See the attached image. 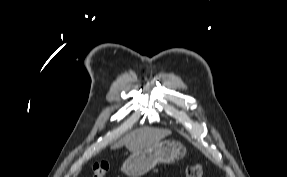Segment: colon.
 I'll return each instance as SVG.
<instances>
[{
    "label": "colon",
    "mask_w": 287,
    "mask_h": 177,
    "mask_svg": "<svg viewBox=\"0 0 287 177\" xmlns=\"http://www.w3.org/2000/svg\"><path fill=\"white\" fill-rule=\"evenodd\" d=\"M110 164L107 161H100L93 166V177H107ZM187 177H205L203 164L196 163L187 168Z\"/></svg>",
    "instance_id": "1"
}]
</instances>
